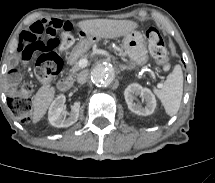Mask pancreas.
<instances>
[{
    "label": "pancreas",
    "instance_id": "cf45deb5",
    "mask_svg": "<svg viewBox=\"0 0 215 183\" xmlns=\"http://www.w3.org/2000/svg\"><path fill=\"white\" fill-rule=\"evenodd\" d=\"M118 51H119V53L121 54V55H124V53L122 52V50L121 49H118ZM85 57H87V55H80V56H77V57H75V58H72V59H70L69 61H70V63H71V65H72V68H71V70H70V72H71V76H75L76 74H77V72L81 69L80 67H79V65H78V63H79V58H85Z\"/></svg>",
    "mask_w": 215,
    "mask_h": 183
}]
</instances>
